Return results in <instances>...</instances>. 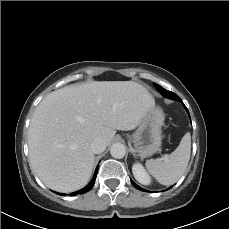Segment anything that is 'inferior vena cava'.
Returning a JSON list of instances; mask_svg holds the SVG:
<instances>
[{
    "instance_id": "inferior-vena-cava-1",
    "label": "inferior vena cava",
    "mask_w": 229,
    "mask_h": 229,
    "mask_svg": "<svg viewBox=\"0 0 229 229\" xmlns=\"http://www.w3.org/2000/svg\"><path fill=\"white\" fill-rule=\"evenodd\" d=\"M90 147L94 154H99L106 149V143L102 138H96L93 140Z\"/></svg>"
}]
</instances>
